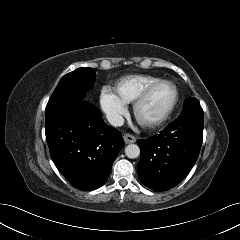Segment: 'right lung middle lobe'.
Segmentation results:
<instances>
[{
    "mask_svg": "<svg viewBox=\"0 0 240 240\" xmlns=\"http://www.w3.org/2000/svg\"><path fill=\"white\" fill-rule=\"evenodd\" d=\"M95 72L92 68L82 67L63 76L46 108L57 104L84 100L86 92L95 82Z\"/></svg>",
    "mask_w": 240,
    "mask_h": 240,
    "instance_id": "dd1d6c3e",
    "label": "right lung middle lobe"
}]
</instances>
